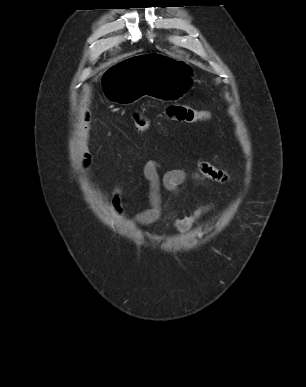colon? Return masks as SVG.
<instances>
[{
    "instance_id": "colon-1",
    "label": "colon",
    "mask_w": 306,
    "mask_h": 387,
    "mask_svg": "<svg viewBox=\"0 0 306 387\" xmlns=\"http://www.w3.org/2000/svg\"><path fill=\"white\" fill-rule=\"evenodd\" d=\"M166 113L170 119L186 123L203 122L209 118L207 111L188 105H170L167 107ZM133 121L138 134H144L149 129V120L143 111L134 112Z\"/></svg>"
}]
</instances>
